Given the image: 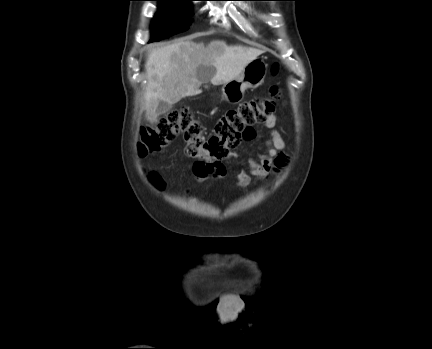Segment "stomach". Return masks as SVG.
Instances as JSON below:
<instances>
[{"mask_svg": "<svg viewBox=\"0 0 432 349\" xmlns=\"http://www.w3.org/2000/svg\"><path fill=\"white\" fill-rule=\"evenodd\" d=\"M267 67L263 59L256 58L249 62L239 76L223 84V98L232 104L240 103L246 89L256 88L264 82Z\"/></svg>", "mask_w": 432, "mask_h": 349, "instance_id": "obj_1", "label": "stomach"}]
</instances>
